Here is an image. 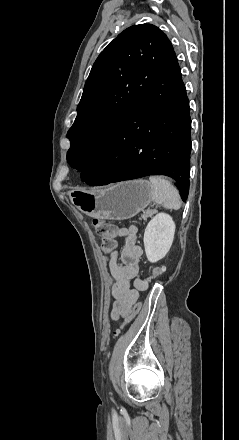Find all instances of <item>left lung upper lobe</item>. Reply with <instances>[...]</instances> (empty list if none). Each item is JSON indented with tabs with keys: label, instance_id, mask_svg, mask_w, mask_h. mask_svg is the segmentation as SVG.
<instances>
[{
	"label": "left lung upper lobe",
	"instance_id": "left-lung-upper-lobe-1",
	"mask_svg": "<svg viewBox=\"0 0 239 440\" xmlns=\"http://www.w3.org/2000/svg\"><path fill=\"white\" fill-rule=\"evenodd\" d=\"M173 53L167 36L151 24L127 28L100 53L67 133L71 142L67 161L72 167L82 171L92 162Z\"/></svg>",
	"mask_w": 239,
	"mask_h": 440
}]
</instances>
